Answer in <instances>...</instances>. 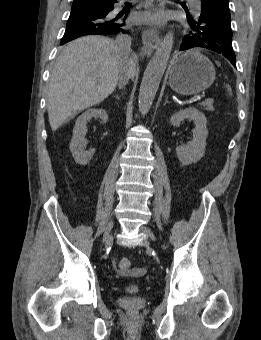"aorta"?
Returning a JSON list of instances; mask_svg holds the SVG:
<instances>
[{
  "label": "aorta",
  "instance_id": "obj_1",
  "mask_svg": "<svg viewBox=\"0 0 261 340\" xmlns=\"http://www.w3.org/2000/svg\"><path fill=\"white\" fill-rule=\"evenodd\" d=\"M173 43L174 32L173 30H170L160 42L156 52L146 67L138 97V106L142 115L147 114L152 106L161 79L166 70Z\"/></svg>",
  "mask_w": 261,
  "mask_h": 340
}]
</instances>
